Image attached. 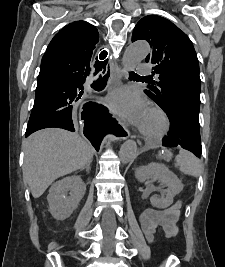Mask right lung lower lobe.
Here are the masks:
<instances>
[{"instance_id":"obj_1","label":"right lung lower lobe","mask_w":225,"mask_h":267,"mask_svg":"<svg viewBox=\"0 0 225 267\" xmlns=\"http://www.w3.org/2000/svg\"><path fill=\"white\" fill-rule=\"evenodd\" d=\"M102 68L91 63L82 53L46 51L41 61L34 106L25 136L50 127L74 132L72 113L79 105L83 83L90 73H97ZM107 79V75L99 78L91 87L100 90L105 86ZM93 104L92 120L87 123L85 118L84 134L98 150L107 127L115 121L104 106Z\"/></svg>"}]
</instances>
